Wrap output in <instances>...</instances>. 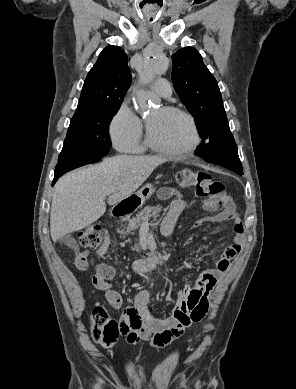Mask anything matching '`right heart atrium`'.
<instances>
[{"label":"right heart atrium","mask_w":296,"mask_h":389,"mask_svg":"<svg viewBox=\"0 0 296 389\" xmlns=\"http://www.w3.org/2000/svg\"><path fill=\"white\" fill-rule=\"evenodd\" d=\"M109 133L118 151L138 153L142 150L143 123L127 104L123 103L112 117Z\"/></svg>","instance_id":"obj_1"}]
</instances>
